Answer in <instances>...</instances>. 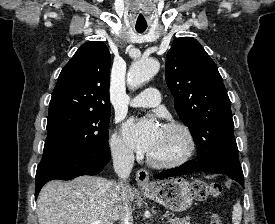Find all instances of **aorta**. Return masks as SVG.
Here are the masks:
<instances>
[{"mask_svg": "<svg viewBox=\"0 0 275 224\" xmlns=\"http://www.w3.org/2000/svg\"><path fill=\"white\" fill-rule=\"evenodd\" d=\"M160 68L156 59H141L135 61L128 71V85L131 89H136L146 81L150 80Z\"/></svg>", "mask_w": 275, "mask_h": 224, "instance_id": "aorta-1", "label": "aorta"}]
</instances>
